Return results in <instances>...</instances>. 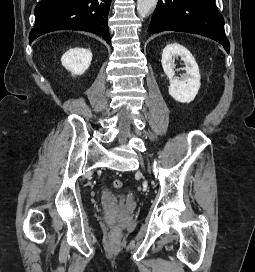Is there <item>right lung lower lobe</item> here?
Instances as JSON below:
<instances>
[{"instance_id":"1","label":"right lung lower lobe","mask_w":255,"mask_h":272,"mask_svg":"<svg viewBox=\"0 0 255 272\" xmlns=\"http://www.w3.org/2000/svg\"><path fill=\"white\" fill-rule=\"evenodd\" d=\"M111 0H41L29 43L56 30H81L103 36L110 44L108 13Z\"/></svg>"}]
</instances>
